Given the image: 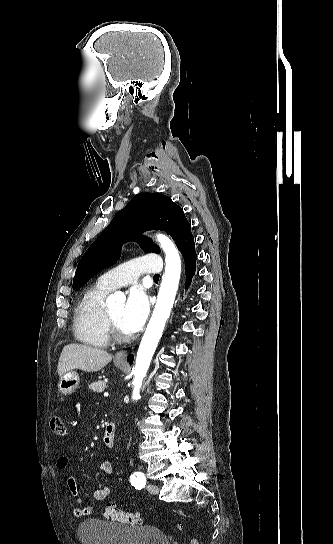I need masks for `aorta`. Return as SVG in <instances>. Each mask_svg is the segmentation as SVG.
Masks as SVG:
<instances>
[{
    "label": "aorta",
    "instance_id": "aorta-1",
    "mask_svg": "<svg viewBox=\"0 0 333 544\" xmlns=\"http://www.w3.org/2000/svg\"><path fill=\"white\" fill-rule=\"evenodd\" d=\"M157 240L165 252V273L152 317L142 337L135 366L132 369L134 374L133 400L138 399L140 396L139 392L143 379L147 374L152 357L162 336L165 323L173 307L181 274V260L174 243L168 237L161 234L157 235ZM124 301L125 295L121 292H115L107 298L106 302L109 306H112L117 302Z\"/></svg>",
    "mask_w": 333,
    "mask_h": 544
}]
</instances>
